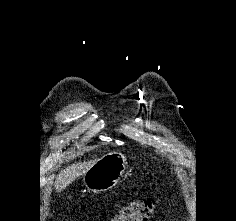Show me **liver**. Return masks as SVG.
<instances>
[{
	"label": "liver",
	"instance_id": "obj_1",
	"mask_svg": "<svg viewBox=\"0 0 236 221\" xmlns=\"http://www.w3.org/2000/svg\"><path fill=\"white\" fill-rule=\"evenodd\" d=\"M98 160L84 161L78 164H73L62 170L57 178L55 187L61 190L77 179L82 174H85Z\"/></svg>",
	"mask_w": 236,
	"mask_h": 221
}]
</instances>
